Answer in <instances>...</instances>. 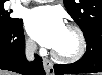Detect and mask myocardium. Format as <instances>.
Instances as JSON below:
<instances>
[{
    "label": "myocardium",
    "mask_w": 102,
    "mask_h": 75,
    "mask_svg": "<svg viewBox=\"0 0 102 75\" xmlns=\"http://www.w3.org/2000/svg\"><path fill=\"white\" fill-rule=\"evenodd\" d=\"M66 28L74 32L78 38L79 45H78L77 51L72 55H63L53 50L52 54L59 61H62L65 63H72L79 60L84 55L87 48V40H86L84 32L78 25L73 24V23H68L66 25Z\"/></svg>",
    "instance_id": "1"
}]
</instances>
